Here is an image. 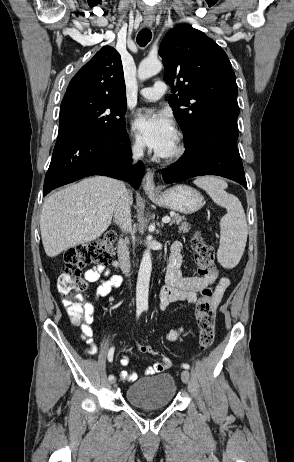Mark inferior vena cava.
<instances>
[{"mask_svg": "<svg viewBox=\"0 0 294 462\" xmlns=\"http://www.w3.org/2000/svg\"><path fill=\"white\" fill-rule=\"evenodd\" d=\"M143 148L144 144L141 142H136L133 145L132 157L134 161L139 160L143 156ZM131 204L132 195L124 188L114 210V221L124 231L129 230L131 225Z\"/></svg>", "mask_w": 294, "mask_h": 462, "instance_id": "602c4592", "label": "inferior vena cava"}]
</instances>
